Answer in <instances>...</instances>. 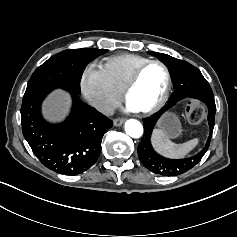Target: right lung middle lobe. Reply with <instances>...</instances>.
<instances>
[{
  "label": "right lung middle lobe",
  "instance_id": "obj_1",
  "mask_svg": "<svg viewBox=\"0 0 237 237\" xmlns=\"http://www.w3.org/2000/svg\"><path fill=\"white\" fill-rule=\"evenodd\" d=\"M107 51L74 49L52 56L32 74L22 104L44 97L56 88L80 94V80L86 65Z\"/></svg>",
  "mask_w": 237,
  "mask_h": 237
}]
</instances>
